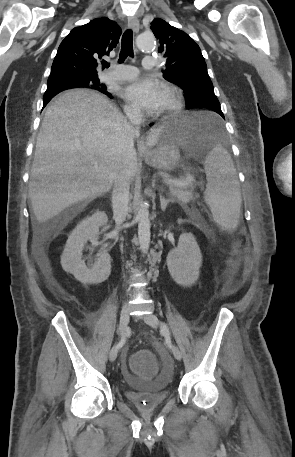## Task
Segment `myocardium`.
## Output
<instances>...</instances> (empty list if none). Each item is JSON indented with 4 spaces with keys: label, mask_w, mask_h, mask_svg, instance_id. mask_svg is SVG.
<instances>
[{
    "label": "myocardium",
    "mask_w": 295,
    "mask_h": 457,
    "mask_svg": "<svg viewBox=\"0 0 295 457\" xmlns=\"http://www.w3.org/2000/svg\"><path fill=\"white\" fill-rule=\"evenodd\" d=\"M164 90L170 96L169 104L160 110L156 116L164 117L177 113L183 106V96L179 88L171 84H165Z\"/></svg>",
    "instance_id": "f54148a6"
}]
</instances>
